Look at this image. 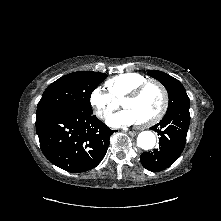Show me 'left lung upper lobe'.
<instances>
[{
	"mask_svg": "<svg viewBox=\"0 0 221 221\" xmlns=\"http://www.w3.org/2000/svg\"><path fill=\"white\" fill-rule=\"evenodd\" d=\"M148 75L160 81L167 89L169 96L167 112L182 108L189 109L190 99L179 80L158 70H149Z\"/></svg>",
	"mask_w": 221,
	"mask_h": 221,
	"instance_id": "obj_1",
	"label": "left lung upper lobe"
}]
</instances>
